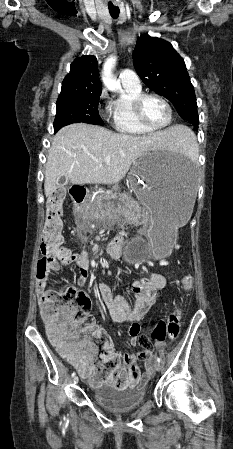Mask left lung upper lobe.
Here are the masks:
<instances>
[{"label": "left lung upper lobe", "instance_id": "5c2ea615", "mask_svg": "<svg viewBox=\"0 0 233 449\" xmlns=\"http://www.w3.org/2000/svg\"><path fill=\"white\" fill-rule=\"evenodd\" d=\"M133 63L142 81L167 98L184 120L198 129L199 117L194 87L183 58L171 43L142 35L133 52Z\"/></svg>", "mask_w": 233, "mask_h": 449}]
</instances>
